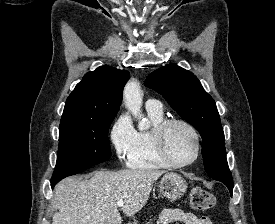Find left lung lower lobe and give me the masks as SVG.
<instances>
[{"label": "left lung lower lobe", "mask_w": 275, "mask_h": 224, "mask_svg": "<svg viewBox=\"0 0 275 224\" xmlns=\"http://www.w3.org/2000/svg\"><path fill=\"white\" fill-rule=\"evenodd\" d=\"M221 182H223L229 189L230 191V194L232 195V192H233V181H228L226 179H222Z\"/></svg>", "instance_id": "left-lung-lower-lobe-1"}]
</instances>
